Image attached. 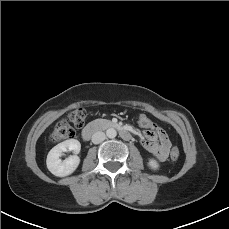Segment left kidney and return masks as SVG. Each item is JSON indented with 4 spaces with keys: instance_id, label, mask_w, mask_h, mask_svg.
Listing matches in <instances>:
<instances>
[{
    "instance_id": "1",
    "label": "left kidney",
    "mask_w": 229,
    "mask_h": 229,
    "mask_svg": "<svg viewBox=\"0 0 229 229\" xmlns=\"http://www.w3.org/2000/svg\"><path fill=\"white\" fill-rule=\"evenodd\" d=\"M148 166L153 170L159 169V163L155 159H150L148 162Z\"/></svg>"
}]
</instances>
